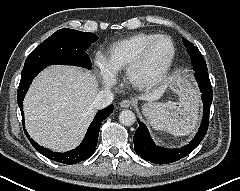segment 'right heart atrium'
<instances>
[{
    "instance_id": "right-heart-atrium-1",
    "label": "right heart atrium",
    "mask_w": 240,
    "mask_h": 191,
    "mask_svg": "<svg viewBox=\"0 0 240 191\" xmlns=\"http://www.w3.org/2000/svg\"><path fill=\"white\" fill-rule=\"evenodd\" d=\"M95 65L103 77L105 82L111 86L116 82V73L112 69L108 59L102 54H97L95 57Z\"/></svg>"
}]
</instances>
